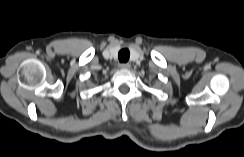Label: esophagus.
<instances>
[{"instance_id": "1", "label": "esophagus", "mask_w": 244, "mask_h": 157, "mask_svg": "<svg viewBox=\"0 0 244 157\" xmlns=\"http://www.w3.org/2000/svg\"><path fill=\"white\" fill-rule=\"evenodd\" d=\"M119 68H121V69H129L130 68V64L129 63H121V64H119Z\"/></svg>"}]
</instances>
